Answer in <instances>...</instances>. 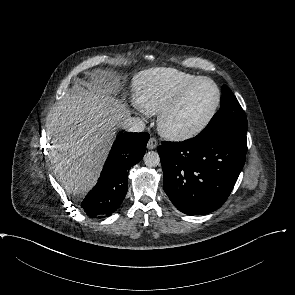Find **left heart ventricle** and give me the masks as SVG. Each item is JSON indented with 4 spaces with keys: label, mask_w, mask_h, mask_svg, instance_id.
Returning <instances> with one entry per match:
<instances>
[{
    "label": "left heart ventricle",
    "mask_w": 295,
    "mask_h": 295,
    "mask_svg": "<svg viewBox=\"0 0 295 295\" xmlns=\"http://www.w3.org/2000/svg\"><path fill=\"white\" fill-rule=\"evenodd\" d=\"M216 96V90L210 82H199L169 118L170 128L187 131L198 126L211 112Z\"/></svg>",
    "instance_id": "b2bd125f"
}]
</instances>
